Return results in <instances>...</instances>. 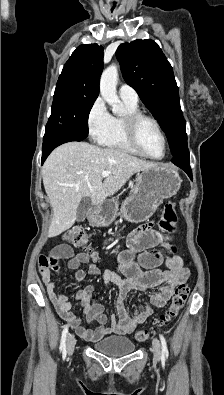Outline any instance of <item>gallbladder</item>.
I'll list each match as a JSON object with an SVG mask.
<instances>
[{"instance_id": "gallbladder-1", "label": "gallbladder", "mask_w": 224, "mask_h": 395, "mask_svg": "<svg viewBox=\"0 0 224 395\" xmlns=\"http://www.w3.org/2000/svg\"><path fill=\"white\" fill-rule=\"evenodd\" d=\"M92 206L91 199L89 197H83L78 205L76 212L77 222H83Z\"/></svg>"}]
</instances>
